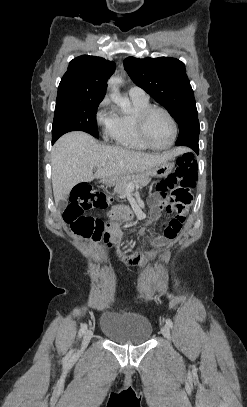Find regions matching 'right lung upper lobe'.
Wrapping results in <instances>:
<instances>
[{
	"label": "right lung upper lobe",
	"mask_w": 247,
	"mask_h": 407,
	"mask_svg": "<svg viewBox=\"0 0 247 407\" xmlns=\"http://www.w3.org/2000/svg\"><path fill=\"white\" fill-rule=\"evenodd\" d=\"M116 64L96 56H80L70 61L58 87L60 99H103L107 80Z\"/></svg>",
	"instance_id": "right-lung-upper-lobe-1"
}]
</instances>
